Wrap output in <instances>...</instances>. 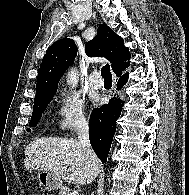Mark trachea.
Returning <instances> with one entry per match:
<instances>
[{"instance_id":"obj_1","label":"trachea","mask_w":189,"mask_h":195,"mask_svg":"<svg viewBox=\"0 0 189 195\" xmlns=\"http://www.w3.org/2000/svg\"><path fill=\"white\" fill-rule=\"evenodd\" d=\"M101 75L104 78V81H112V74L109 64L103 66V68L101 69Z\"/></svg>"}]
</instances>
